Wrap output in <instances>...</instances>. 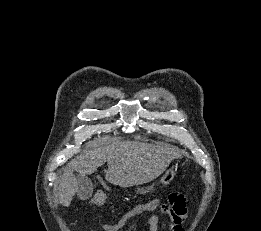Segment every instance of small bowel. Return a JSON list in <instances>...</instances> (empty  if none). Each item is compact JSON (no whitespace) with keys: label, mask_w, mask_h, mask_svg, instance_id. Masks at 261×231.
Returning <instances> with one entry per match:
<instances>
[{"label":"small bowel","mask_w":261,"mask_h":231,"mask_svg":"<svg viewBox=\"0 0 261 231\" xmlns=\"http://www.w3.org/2000/svg\"><path fill=\"white\" fill-rule=\"evenodd\" d=\"M102 201V197L100 195H96L88 199L87 204L90 208H97ZM146 204H140L132 209L129 213L123 215L121 218L117 220L114 224L110 225H102V229L104 231H120L131 219L146 215L147 216V225L149 231H160V216L158 212L168 217L170 223L169 228L170 231H184L182 224L184 219L172 213L166 205L156 207L154 210L150 212H146Z\"/></svg>","instance_id":"c3829d8e"}]
</instances>
